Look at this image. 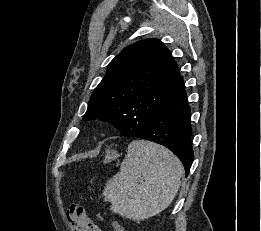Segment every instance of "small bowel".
I'll return each instance as SVG.
<instances>
[{"mask_svg":"<svg viewBox=\"0 0 261 231\" xmlns=\"http://www.w3.org/2000/svg\"><path fill=\"white\" fill-rule=\"evenodd\" d=\"M69 228L71 231H82L79 226L71 224V223L69 224ZM89 231H104V229L93 223V228L90 229Z\"/></svg>","mask_w":261,"mask_h":231,"instance_id":"small-bowel-1","label":"small bowel"}]
</instances>
